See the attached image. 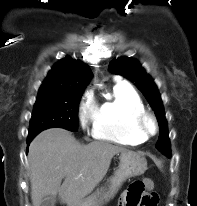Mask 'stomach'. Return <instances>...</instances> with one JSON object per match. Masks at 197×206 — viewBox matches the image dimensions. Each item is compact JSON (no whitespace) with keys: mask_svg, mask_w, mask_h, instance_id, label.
I'll use <instances>...</instances> for the list:
<instances>
[{"mask_svg":"<svg viewBox=\"0 0 197 206\" xmlns=\"http://www.w3.org/2000/svg\"><path fill=\"white\" fill-rule=\"evenodd\" d=\"M119 159V168L109 180L108 187L105 189L106 191H98L73 206H101L114 197L127 179L142 175L147 169V161L139 153L131 151L121 152Z\"/></svg>","mask_w":197,"mask_h":206,"instance_id":"0dacf381","label":"stomach"}]
</instances>
